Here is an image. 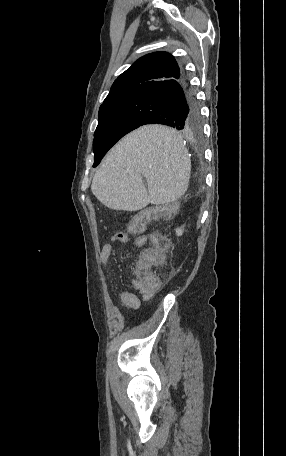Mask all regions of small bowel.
I'll return each instance as SVG.
<instances>
[{"instance_id": "small-bowel-1", "label": "small bowel", "mask_w": 286, "mask_h": 456, "mask_svg": "<svg viewBox=\"0 0 286 456\" xmlns=\"http://www.w3.org/2000/svg\"><path fill=\"white\" fill-rule=\"evenodd\" d=\"M124 234L119 238L113 240L116 241H121V242H126L128 240V235L127 233L123 232ZM148 241V237L146 235H138L135 238V246L138 248H142L146 245ZM113 253V245L111 243H106L102 246L100 250V258L101 260L107 264L112 256ZM134 289H136L139 294L142 296V298L145 301H150L154 298V291H146L143 289H138L136 287L135 281H132ZM117 297L119 300V305L125 309H128L130 311H136L140 307V298L138 297L137 294L130 292V291H125V290H117Z\"/></svg>"}]
</instances>
